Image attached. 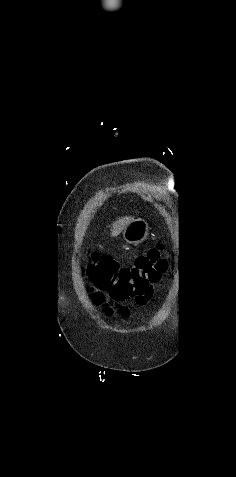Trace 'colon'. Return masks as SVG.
I'll return each instance as SVG.
<instances>
[{"mask_svg":"<svg viewBox=\"0 0 236 477\" xmlns=\"http://www.w3.org/2000/svg\"><path fill=\"white\" fill-rule=\"evenodd\" d=\"M166 268L167 262L159 248H152L138 257L132 267L121 266L108 256L93 254L87 274L95 284L93 297L97 304L103 303L105 293L118 304L127 300L143 304Z\"/></svg>","mask_w":236,"mask_h":477,"instance_id":"1","label":"colon"}]
</instances>
